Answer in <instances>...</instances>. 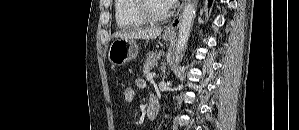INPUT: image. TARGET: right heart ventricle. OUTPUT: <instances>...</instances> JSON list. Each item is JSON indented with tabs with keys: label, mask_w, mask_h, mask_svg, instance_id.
Listing matches in <instances>:
<instances>
[{
	"label": "right heart ventricle",
	"mask_w": 299,
	"mask_h": 130,
	"mask_svg": "<svg viewBox=\"0 0 299 130\" xmlns=\"http://www.w3.org/2000/svg\"><path fill=\"white\" fill-rule=\"evenodd\" d=\"M136 0H116L114 5L116 23L120 28L143 27L148 21L141 18L135 10Z\"/></svg>",
	"instance_id": "e07e8e85"
}]
</instances>
